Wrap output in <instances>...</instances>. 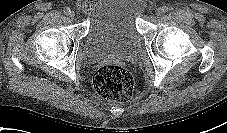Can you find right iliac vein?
<instances>
[{
    "instance_id": "1",
    "label": "right iliac vein",
    "mask_w": 227,
    "mask_h": 133,
    "mask_svg": "<svg viewBox=\"0 0 227 133\" xmlns=\"http://www.w3.org/2000/svg\"><path fill=\"white\" fill-rule=\"evenodd\" d=\"M69 16H70V18L74 19L75 13H74L73 11H71V12L69 13Z\"/></svg>"
}]
</instances>
